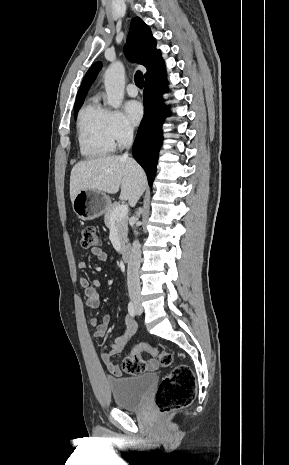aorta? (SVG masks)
<instances>
[{
    "label": "aorta",
    "instance_id": "762f6f07",
    "mask_svg": "<svg viewBox=\"0 0 289 465\" xmlns=\"http://www.w3.org/2000/svg\"><path fill=\"white\" fill-rule=\"evenodd\" d=\"M104 85L107 94V104L118 109L124 98L125 69L124 65L117 61L112 63L105 71Z\"/></svg>",
    "mask_w": 289,
    "mask_h": 465
}]
</instances>
